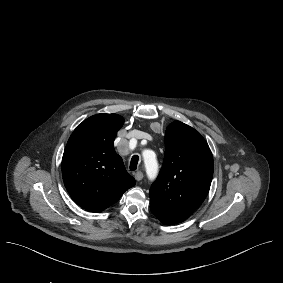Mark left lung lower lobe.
<instances>
[{
	"label": "left lung lower lobe",
	"mask_w": 283,
	"mask_h": 283,
	"mask_svg": "<svg viewBox=\"0 0 283 283\" xmlns=\"http://www.w3.org/2000/svg\"><path fill=\"white\" fill-rule=\"evenodd\" d=\"M152 213L166 225H173L186 220L194 211L169 207L156 201L150 200Z\"/></svg>",
	"instance_id": "1"
}]
</instances>
